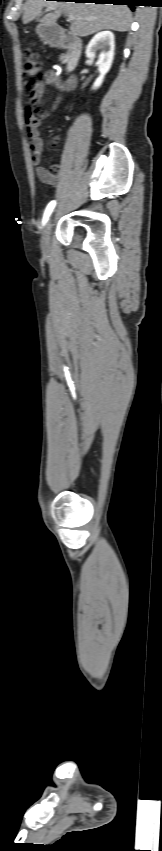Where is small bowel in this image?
<instances>
[{"label": "small bowel", "instance_id": "1", "mask_svg": "<svg viewBox=\"0 0 162 851\" xmlns=\"http://www.w3.org/2000/svg\"><path fill=\"white\" fill-rule=\"evenodd\" d=\"M45 82L40 83L32 93V101L36 106V109L33 111H27L25 124H26V132L30 139V147L32 150L31 161L35 166V172L37 177L44 183L54 185L57 184L60 179L61 168L59 165H53L50 169L45 168L41 165L42 154H43V141L39 134V126L41 122L47 118V112L39 109L42 103V97L45 93L46 84H52L57 87V91L59 92L60 98L66 97V92L69 94H74L77 91V74L75 72H70L68 77L62 83L60 77H58L53 71H48L45 75ZM58 106V100H56L51 109L54 110ZM60 141L59 136H54L50 140V144L52 146H56Z\"/></svg>", "mask_w": 162, "mask_h": 851}]
</instances>
